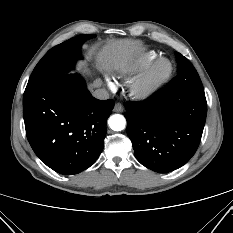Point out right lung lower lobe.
I'll list each match as a JSON object with an SVG mask.
<instances>
[{
  "label": "right lung lower lobe",
  "instance_id": "obj_1",
  "mask_svg": "<svg viewBox=\"0 0 233 233\" xmlns=\"http://www.w3.org/2000/svg\"><path fill=\"white\" fill-rule=\"evenodd\" d=\"M113 107L111 99L94 98L77 74L52 77L24 92L27 139L35 154L54 171L80 173L99 157Z\"/></svg>",
  "mask_w": 233,
  "mask_h": 233
}]
</instances>
